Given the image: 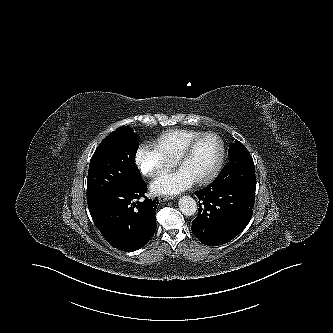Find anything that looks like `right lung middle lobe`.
I'll list each match as a JSON object with an SVG mask.
<instances>
[{
    "mask_svg": "<svg viewBox=\"0 0 333 333\" xmlns=\"http://www.w3.org/2000/svg\"><path fill=\"white\" fill-rule=\"evenodd\" d=\"M138 147L139 136L128 126L120 127L104 138L90 161L87 201L143 180L135 163Z\"/></svg>",
    "mask_w": 333,
    "mask_h": 333,
    "instance_id": "obj_1",
    "label": "right lung middle lobe"
}]
</instances>
